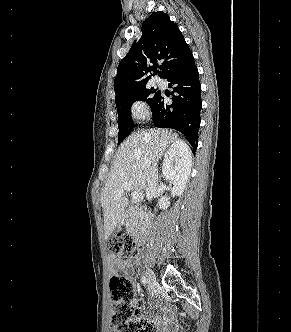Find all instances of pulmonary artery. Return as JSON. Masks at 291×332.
I'll return each mask as SVG.
<instances>
[{"label": "pulmonary artery", "instance_id": "1", "mask_svg": "<svg viewBox=\"0 0 291 332\" xmlns=\"http://www.w3.org/2000/svg\"><path fill=\"white\" fill-rule=\"evenodd\" d=\"M156 83L159 85V86H161V85H163V81L162 80H160V79H158L157 81H156Z\"/></svg>", "mask_w": 291, "mask_h": 332}]
</instances>
